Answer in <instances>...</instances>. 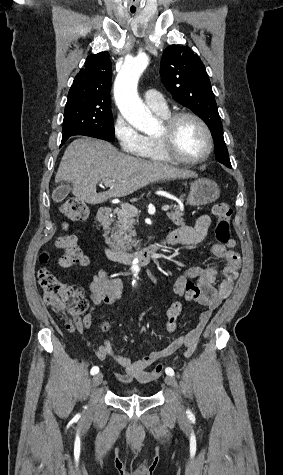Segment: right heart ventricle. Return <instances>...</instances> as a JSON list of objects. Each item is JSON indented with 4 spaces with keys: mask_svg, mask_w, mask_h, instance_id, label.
<instances>
[{
    "mask_svg": "<svg viewBox=\"0 0 283 475\" xmlns=\"http://www.w3.org/2000/svg\"><path fill=\"white\" fill-rule=\"evenodd\" d=\"M161 118L166 119L170 113L168 109L163 110V111H155ZM148 141V147H147V152H146V157L149 160H155V161H163L159 150H158V140L157 136H150L147 138Z\"/></svg>",
    "mask_w": 283,
    "mask_h": 475,
    "instance_id": "right-heart-ventricle-1",
    "label": "right heart ventricle"
}]
</instances>
